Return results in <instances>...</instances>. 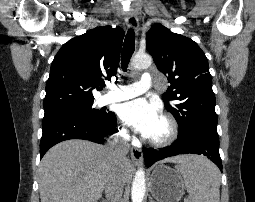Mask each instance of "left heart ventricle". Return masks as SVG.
<instances>
[{"instance_id":"left-heart-ventricle-1","label":"left heart ventricle","mask_w":255,"mask_h":202,"mask_svg":"<svg viewBox=\"0 0 255 202\" xmlns=\"http://www.w3.org/2000/svg\"><path fill=\"white\" fill-rule=\"evenodd\" d=\"M166 132H167L166 124L161 119L159 121V123L157 124V126L155 127V129L153 130V132L150 135V137H152V138H159V137L164 136L166 134Z\"/></svg>"}]
</instances>
